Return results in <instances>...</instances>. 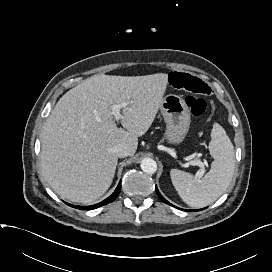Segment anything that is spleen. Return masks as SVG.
I'll use <instances>...</instances> for the list:
<instances>
[{"instance_id":"spleen-1","label":"spleen","mask_w":272,"mask_h":272,"mask_svg":"<svg viewBox=\"0 0 272 272\" xmlns=\"http://www.w3.org/2000/svg\"><path fill=\"white\" fill-rule=\"evenodd\" d=\"M209 151L214 161L204 177L171 169L172 183L182 200L191 207H204L216 201L229 186L234 170V147L224 128L215 123Z\"/></svg>"}]
</instances>
